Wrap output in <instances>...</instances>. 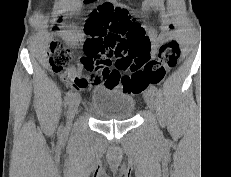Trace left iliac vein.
Listing matches in <instances>:
<instances>
[{"label":"left iliac vein","instance_id":"obj_1","mask_svg":"<svg viewBox=\"0 0 231 177\" xmlns=\"http://www.w3.org/2000/svg\"><path fill=\"white\" fill-rule=\"evenodd\" d=\"M144 99L149 109L154 111L156 107V101H155V96L153 92L150 90L146 91L144 94Z\"/></svg>","mask_w":231,"mask_h":177}]
</instances>
